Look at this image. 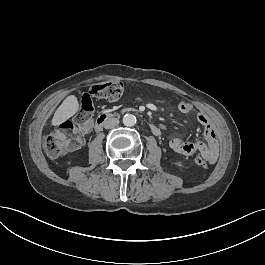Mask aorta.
<instances>
[{"label": "aorta", "mask_w": 265, "mask_h": 265, "mask_svg": "<svg viewBox=\"0 0 265 265\" xmlns=\"http://www.w3.org/2000/svg\"><path fill=\"white\" fill-rule=\"evenodd\" d=\"M137 123V119L133 114H126L123 117V124L127 127H133Z\"/></svg>", "instance_id": "762f6f07"}]
</instances>
